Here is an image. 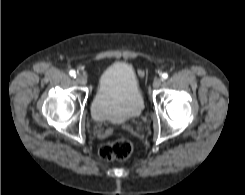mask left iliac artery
<instances>
[{
  "instance_id": "1",
  "label": "left iliac artery",
  "mask_w": 245,
  "mask_h": 195,
  "mask_svg": "<svg viewBox=\"0 0 245 195\" xmlns=\"http://www.w3.org/2000/svg\"><path fill=\"white\" fill-rule=\"evenodd\" d=\"M168 78V74L167 73H163L162 74V79H167Z\"/></svg>"
}]
</instances>
